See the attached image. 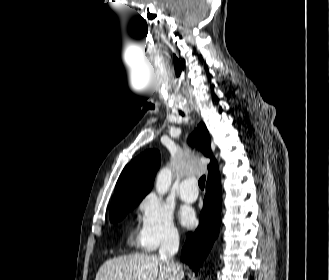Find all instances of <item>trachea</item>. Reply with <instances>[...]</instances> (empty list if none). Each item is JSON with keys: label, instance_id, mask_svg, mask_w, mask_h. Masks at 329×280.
<instances>
[{"label": "trachea", "instance_id": "trachea-1", "mask_svg": "<svg viewBox=\"0 0 329 280\" xmlns=\"http://www.w3.org/2000/svg\"><path fill=\"white\" fill-rule=\"evenodd\" d=\"M182 116H183V114H182ZM205 180H206V177H205V175H203V176L199 179V181H198L199 187H200L201 189H204V186H205Z\"/></svg>", "mask_w": 329, "mask_h": 280}]
</instances>
